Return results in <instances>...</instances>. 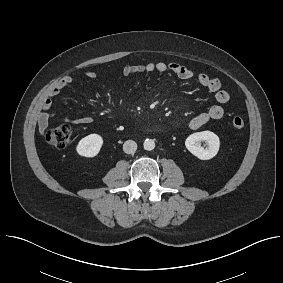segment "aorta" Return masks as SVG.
<instances>
[{
  "instance_id": "obj_1",
  "label": "aorta",
  "mask_w": 283,
  "mask_h": 283,
  "mask_svg": "<svg viewBox=\"0 0 283 283\" xmlns=\"http://www.w3.org/2000/svg\"><path fill=\"white\" fill-rule=\"evenodd\" d=\"M144 149L151 151L155 148V142L153 139H146L143 143Z\"/></svg>"
}]
</instances>
